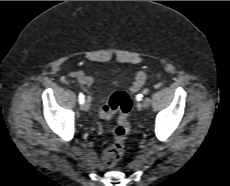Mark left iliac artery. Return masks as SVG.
Instances as JSON below:
<instances>
[{"label":"left iliac artery","instance_id":"obj_1","mask_svg":"<svg viewBox=\"0 0 230 186\" xmlns=\"http://www.w3.org/2000/svg\"><path fill=\"white\" fill-rule=\"evenodd\" d=\"M142 97H143L142 94H138V95L136 96L137 101H141V100H142Z\"/></svg>","mask_w":230,"mask_h":186}]
</instances>
